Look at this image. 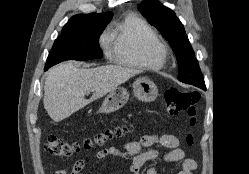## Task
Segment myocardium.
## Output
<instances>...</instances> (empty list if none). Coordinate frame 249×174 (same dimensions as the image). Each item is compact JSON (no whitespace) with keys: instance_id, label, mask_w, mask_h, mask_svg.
<instances>
[{"instance_id":"myocardium-1","label":"myocardium","mask_w":249,"mask_h":174,"mask_svg":"<svg viewBox=\"0 0 249 174\" xmlns=\"http://www.w3.org/2000/svg\"><path fill=\"white\" fill-rule=\"evenodd\" d=\"M148 51L152 56H154L162 61H164L169 54V49H168L167 45L162 43V42H159V43L149 47Z\"/></svg>"}]
</instances>
